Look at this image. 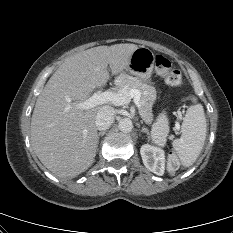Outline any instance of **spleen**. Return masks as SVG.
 Returning <instances> with one entry per match:
<instances>
[{
  "label": "spleen",
  "instance_id": "obj_1",
  "mask_svg": "<svg viewBox=\"0 0 233 233\" xmlns=\"http://www.w3.org/2000/svg\"><path fill=\"white\" fill-rule=\"evenodd\" d=\"M181 132V137L174 140L172 145L181 164L189 167L199 157L206 139L207 123L201 104H193L187 109ZM174 160L177 158H171L168 163L171 171L176 170L172 166Z\"/></svg>",
  "mask_w": 233,
  "mask_h": 233
}]
</instances>
